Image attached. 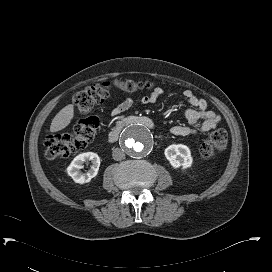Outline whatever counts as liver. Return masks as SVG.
Here are the masks:
<instances>
[{"label": "liver", "instance_id": "liver-1", "mask_svg": "<svg viewBox=\"0 0 272 272\" xmlns=\"http://www.w3.org/2000/svg\"><path fill=\"white\" fill-rule=\"evenodd\" d=\"M74 117V106L69 104L62 108L53 118L50 125V132H57L66 128Z\"/></svg>", "mask_w": 272, "mask_h": 272}]
</instances>
